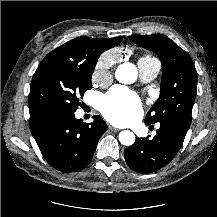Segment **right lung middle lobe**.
<instances>
[{"mask_svg": "<svg viewBox=\"0 0 217 217\" xmlns=\"http://www.w3.org/2000/svg\"><path fill=\"white\" fill-rule=\"evenodd\" d=\"M95 64H79L46 56L30 87V117L48 112L74 113L85 91L92 88Z\"/></svg>", "mask_w": 217, "mask_h": 217, "instance_id": "1", "label": "right lung middle lobe"}]
</instances>
